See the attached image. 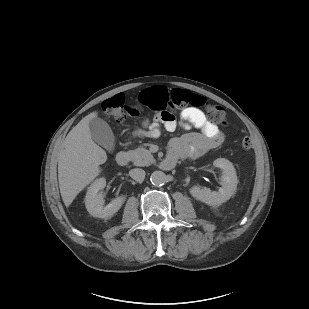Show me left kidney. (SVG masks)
Segmentation results:
<instances>
[{
	"label": "left kidney",
	"mask_w": 309,
	"mask_h": 309,
	"mask_svg": "<svg viewBox=\"0 0 309 309\" xmlns=\"http://www.w3.org/2000/svg\"><path fill=\"white\" fill-rule=\"evenodd\" d=\"M215 167L222 169L221 187L218 191L209 188L193 186L190 194L196 199L210 206H218L233 196L237 189L238 179L232 163L224 158H218L213 162Z\"/></svg>",
	"instance_id": "1"
}]
</instances>
